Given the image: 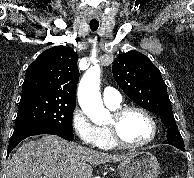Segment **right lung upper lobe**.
<instances>
[{"mask_svg":"<svg viewBox=\"0 0 194 178\" xmlns=\"http://www.w3.org/2000/svg\"><path fill=\"white\" fill-rule=\"evenodd\" d=\"M77 60L78 55L66 46H55L41 53L27 68L21 100L54 97L76 102Z\"/></svg>","mask_w":194,"mask_h":178,"instance_id":"1","label":"right lung upper lobe"}]
</instances>
